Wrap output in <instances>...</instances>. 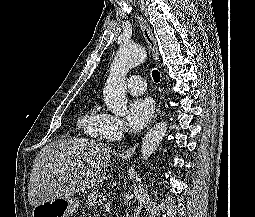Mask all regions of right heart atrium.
<instances>
[{"instance_id":"right-heart-atrium-1","label":"right heart atrium","mask_w":255,"mask_h":217,"mask_svg":"<svg viewBox=\"0 0 255 217\" xmlns=\"http://www.w3.org/2000/svg\"><path fill=\"white\" fill-rule=\"evenodd\" d=\"M123 129V122L119 117L106 114L103 126V131L106 138L117 139L122 137Z\"/></svg>"}]
</instances>
